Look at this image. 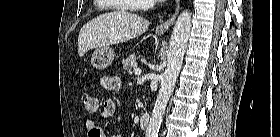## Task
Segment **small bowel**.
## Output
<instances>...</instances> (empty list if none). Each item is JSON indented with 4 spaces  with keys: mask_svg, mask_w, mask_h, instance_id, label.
<instances>
[{
    "mask_svg": "<svg viewBox=\"0 0 280 137\" xmlns=\"http://www.w3.org/2000/svg\"><path fill=\"white\" fill-rule=\"evenodd\" d=\"M101 85L106 90L117 91L121 88V80L117 76H104L101 78ZM116 103L112 99H107L102 104L101 118L106 119L113 115ZM88 137H106L104 130L92 119L85 121Z\"/></svg>",
    "mask_w": 280,
    "mask_h": 137,
    "instance_id": "obj_1",
    "label": "small bowel"
}]
</instances>
